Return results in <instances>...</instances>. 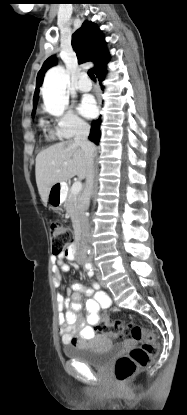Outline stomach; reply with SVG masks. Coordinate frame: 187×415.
Masks as SVG:
<instances>
[{
	"mask_svg": "<svg viewBox=\"0 0 187 415\" xmlns=\"http://www.w3.org/2000/svg\"><path fill=\"white\" fill-rule=\"evenodd\" d=\"M65 183H57L53 185L49 191L48 202L51 207L58 208L63 202V191Z\"/></svg>",
	"mask_w": 187,
	"mask_h": 415,
	"instance_id": "0dacf381",
	"label": "stomach"
}]
</instances>
